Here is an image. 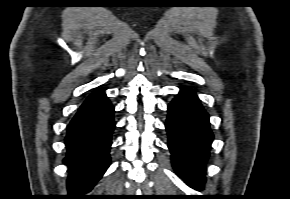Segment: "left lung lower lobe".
I'll use <instances>...</instances> for the list:
<instances>
[{
    "label": "left lung lower lobe",
    "mask_w": 290,
    "mask_h": 199,
    "mask_svg": "<svg viewBox=\"0 0 290 199\" xmlns=\"http://www.w3.org/2000/svg\"><path fill=\"white\" fill-rule=\"evenodd\" d=\"M165 126L174 169L189 186L202 189L213 134L209 116L193 90L181 88L168 106Z\"/></svg>",
    "instance_id": "0a47b994"
}]
</instances>
